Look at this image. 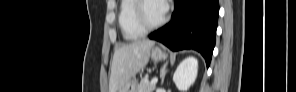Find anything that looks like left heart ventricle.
<instances>
[{
    "label": "left heart ventricle",
    "instance_id": "b2bd125f",
    "mask_svg": "<svg viewBox=\"0 0 296 92\" xmlns=\"http://www.w3.org/2000/svg\"><path fill=\"white\" fill-rule=\"evenodd\" d=\"M144 15L148 23L154 24L158 22L164 15L161 4L157 1H148L145 5Z\"/></svg>",
    "mask_w": 296,
    "mask_h": 92
}]
</instances>
